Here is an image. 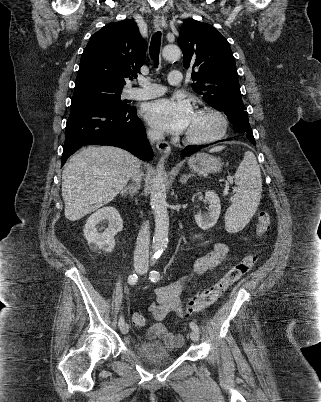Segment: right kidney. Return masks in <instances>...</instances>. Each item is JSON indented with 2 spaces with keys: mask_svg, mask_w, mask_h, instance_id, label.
Segmentation results:
<instances>
[{
  "mask_svg": "<svg viewBox=\"0 0 321 402\" xmlns=\"http://www.w3.org/2000/svg\"><path fill=\"white\" fill-rule=\"evenodd\" d=\"M107 221L108 228L98 232V224ZM123 228V220L118 211L111 206L103 207L92 214L86 221L84 236L88 244L105 252H112L115 246L114 236Z\"/></svg>",
  "mask_w": 321,
  "mask_h": 402,
  "instance_id": "1",
  "label": "right kidney"
}]
</instances>
